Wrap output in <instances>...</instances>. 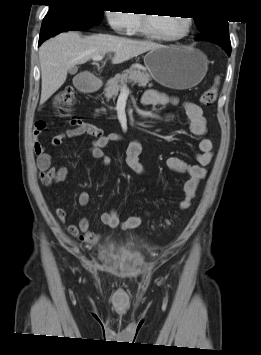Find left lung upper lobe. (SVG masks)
Here are the masks:
<instances>
[{"instance_id": "5c2ea615", "label": "left lung upper lobe", "mask_w": 261, "mask_h": 355, "mask_svg": "<svg viewBox=\"0 0 261 355\" xmlns=\"http://www.w3.org/2000/svg\"><path fill=\"white\" fill-rule=\"evenodd\" d=\"M201 35L196 40L211 41L224 49L231 50L228 21L194 18Z\"/></svg>"}]
</instances>
